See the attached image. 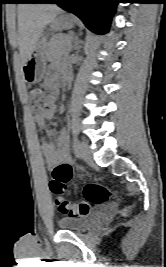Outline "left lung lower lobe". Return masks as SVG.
<instances>
[{
    "label": "left lung lower lobe",
    "instance_id": "0a47b994",
    "mask_svg": "<svg viewBox=\"0 0 166 267\" xmlns=\"http://www.w3.org/2000/svg\"><path fill=\"white\" fill-rule=\"evenodd\" d=\"M43 3H56L61 8L78 16L96 34L109 30L111 18L118 0H45Z\"/></svg>",
    "mask_w": 166,
    "mask_h": 267
}]
</instances>
